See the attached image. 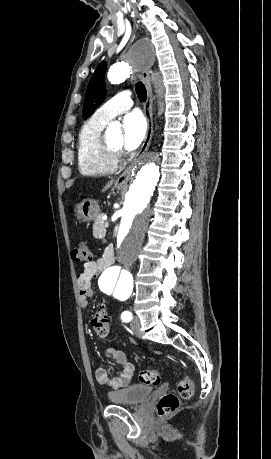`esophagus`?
I'll list each match as a JSON object with an SVG mask.
<instances>
[{
  "label": "esophagus",
  "instance_id": "34e87169",
  "mask_svg": "<svg viewBox=\"0 0 271 459\" xmlns=\"http://www.w3.org/2000/svg\"><path fill=\"white\" fill-rule=\"evenodd\" d=\"M154 60H155V57H154V59H151V62H150V60H139L138 66H136V65L133 66L135 72H138L140 69L142 70V74H141L142 80H143V83L145 84V87L147 89V99H146V102H145L144 107H143L144 116H145L146 121H147V131H146L145 138L143 140V143H142L139 151L137 152V154L135 155L133 160L129 163V165L126 168V170L115 180V185L122 186V185H126L127 184L128 180H129V178L131 176L133 168L143 158V156L147 152V150L149 148V145L151 143V140H152V136H153V132H154V126H153V112H152V108H153V93H152L151 79H150V67L153 64Z\"/></svg>",
  "mask_w": 271,
  "mask_h": 459
}]
</instances>
